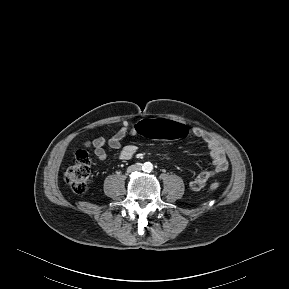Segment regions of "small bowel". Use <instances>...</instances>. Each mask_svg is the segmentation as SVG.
Returning <instances> with one entry per match:
<instances>
[{
  "label": "small bowel",
  "instance_id": "obj_1",
  "mask_svg": "<svg viewBox=\"0 0 289 289\" xmlns=\"http://www.w3.org/2000/svg\"><path fill=\"white\" fill-rule=\"evenodd\" d=\"M161 119V118H159ZM134 125L127 121H124L120 128L108 139L98 137L93 140L94 154L101 162H105L107 159L106 146L112 149H121L119 153V159L129 160L136 153V146L128 144L122 146V142L128 135H136L134 132ZM193 134L196 137L201 138L209 149L210 156L213 160L214 168L212 170H205L200 172L191 182L190 187L193 190H199L203 188L207 181L219 173L227 171L229 164L224 149L219 143L209 136L204 130L200 128H194Z\"/></svg>",
  "mask_w": 289,
  "mask_h": 289
}]
</instances>
